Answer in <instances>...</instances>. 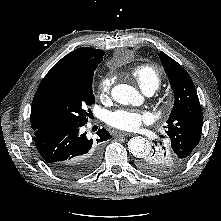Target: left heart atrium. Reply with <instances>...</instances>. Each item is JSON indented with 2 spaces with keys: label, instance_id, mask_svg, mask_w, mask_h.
Returning <instances> with one entry per match:
<instances>
[{
  "label": "left heart atrium",
  "instance_id": "left-heart-atrium-1",
  "mask_svg": "<svg viewBox=\"0 0 221 221\" xmlns=\"http://www.w3.org/2000/svg\"><path fill=\"white\" fill-rule=\"evenodd\" d=\"M105 121L114 128L124 131H134L143 123L149 122L150 115L146 112L133 109H118L107 112Z\"/></svg>",
  "mask_w": 221,
  "mask_h": 221
}]
</instances>
